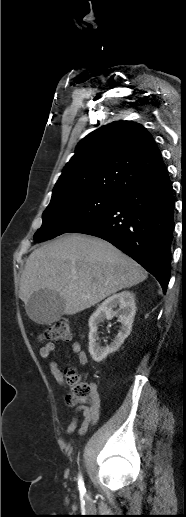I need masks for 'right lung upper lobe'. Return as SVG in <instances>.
Masks as SVG:
<instances>
[{"label": "right lung upper lobe", "instance_id": "right-lung-upper-lobe-1", "mask_svg": "<svg viewBox=\"0 0 186 517\" xmlns=\"http://www.w3.org/2000/svg\"><path fill=\"white\" fill-rule=\"evenodd\" d=\"M166 174L151 134L135 122L117 121L79 142L54 187L52 199L79 193L121 196Z\"/></svg>", "mask_w": 186, "mask_h": 517}]
</instances>
